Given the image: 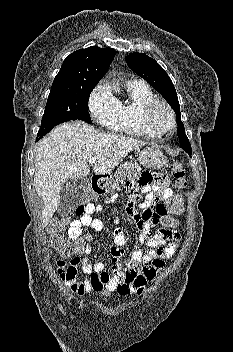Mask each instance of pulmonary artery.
Masks as SVG:
<instances>
[{
	"mask_svg": "<svg viewBox=\"0 0 233 352\" xmlns=\"http://www.w3.org/2000/svg\"><path fill=\"white\" fill-rule=\"evenodd\" d=\"M133 81H138V80H132V81H130V82H133Z\"/></svg>",
	"mask_w": 233,
	"mask_h": 352,
	"instance_id": "1",
	"label": "pulmonary artery"
}]
</instances>
